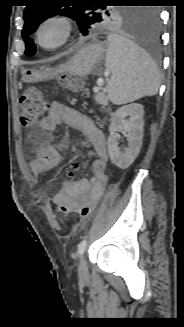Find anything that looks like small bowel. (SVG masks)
I'll return each instance as SVG.
<instances>
[{"mask_svg": "<svg viewBox=\"0 0 184 327\" xmlns=\"http://www.w3.org/2000/svg\"><path fill=\"white\" fill-rule=\"evenodd\" d=\"M61 124H66L85 136L93 148L95 159L91 176L80 181L65 180L60 190L52 196V202L56 206H70L72 209L86 203H96L102 196L107 183L108 152L105 136L88 116L60 101H53L48 114L39 123V129L44 132H53ZM60 162L59 151L46 142H40L37 156L30 164L31 172L35 177L41 178L47 172L57 168ZM68 165L70 170L65 171L66 177H72L75 170L82 169L80 159H69ZM52 174L55 176L57 173L54 171ZM56 182L59 184L61 181L58 179Z\"/></svg>", "mask_w": 184, "mask_h": 327, "instance_id": "1", "label": "small bowel"}]
</instances>
